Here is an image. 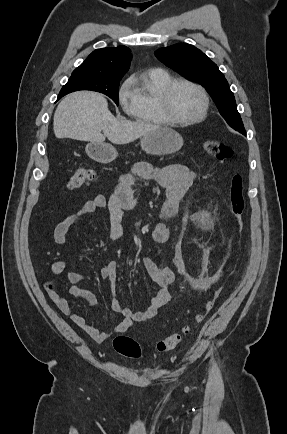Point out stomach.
<instances>
[{"label": "stomach", "mask_w": 287, "mask_h": 434, "mask_svg": "<svg viewBox=\"0 0 287 434\" xmlns=\"http://www.w3.org/2000/svg\"><path fill=\"white\" fill-rule=\"evenodd\" d=\"M140 143L145 153L161 156L179 151L183 146V138L175 130L161 127L144 135ZM86 153L99 163H110L117 157L116 149L106 143L91 142L86 146Z\"/></svg>", "instance_id": "obj_1"}]
</instances>
